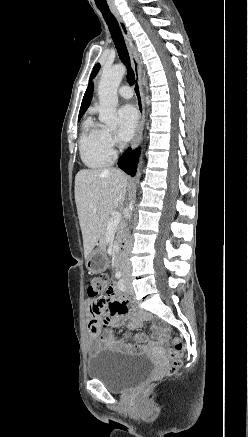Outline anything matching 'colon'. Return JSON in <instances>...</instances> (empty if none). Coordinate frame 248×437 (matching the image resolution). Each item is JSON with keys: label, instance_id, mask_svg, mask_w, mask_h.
Wrapping results in <instances>:
<instances>
[{"label": "colon", "instance_id": "5ec220e1", "mask_svg": "<svg viewBox=\"0 0 248 437\" xmlns=\"http://www.w3.org/2000/svg\"><path fill=\"white\" fill-rule=\"evenodd\" d=\"M109 275L107 273H94L88 277V294H101L109 286ZM173 346L169 349L168 356L170 363L165 370L166 375L176 373L182 365L181 356L184 351L183 343L179 339H173ZM150 392V387L146 388L144 395Z\"/></svg>", "mask_w": 248, "mask_h": 437}]
</instances>
